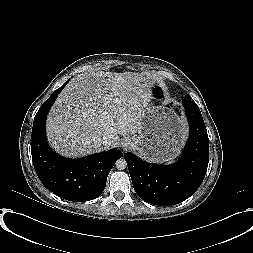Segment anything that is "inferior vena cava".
Wrapping results in <instances>:
<instances>
[{
    "label": "inferior vena cava",
    "mask_w": 253,
    "mask_h": 253,
    "mask_svg": "<svg viewBox=\"0 0 253 253\" xmlns=\"http://www.w3.org/2000/svg\"><path fill=\"white\" fill-rule=\"evenodd\" d=\"M111 142H112V140L109 136H104L101 141L102 145L105 147L110 146Z\"/></svg>",
    "instance_id": "obj_1"
}]
</instances>
